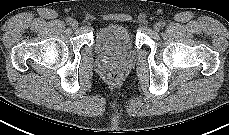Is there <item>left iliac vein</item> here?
Here are the masks:
<instances>
[{
	"label": "left iliac vein",
	"instance_id": "left-iliac-vein-1",
	"mask_svg": "<svg viewBox=\"0 0 229 135\" xmlns=\"http://www.w3.org/2000/svg\"><path fill=\"white\" fill-rule=\"evenodd\" d=\"M160 28H161L160 23H155L154 26H153V29H154L155 31H159Z\"/></svg>",
	"mask_w": 229,
	"mask_h": 135
}]
</instances>
